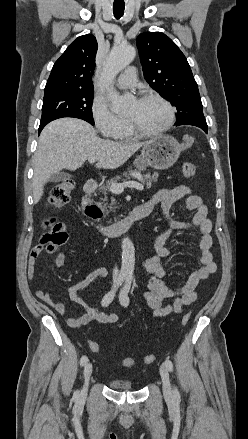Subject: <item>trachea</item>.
<instances>
[{"mask_svg": "<svg viewBox=\"0 0 248 439\" xmlns=\"http://www.w3.org/2000/svg\"><path fill=\"white\" fill-rule=\"evenodd\" d=\"M125 5H113V13L116 19H119L124 14Z\"/></svg>", "mask_w": 248, "mask_h": 439, "instance_id": "obj_1", "label": "trachea"}]
</instances>
